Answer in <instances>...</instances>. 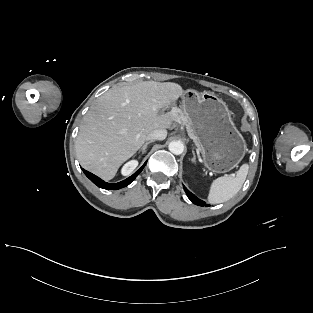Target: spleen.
Returning a JSON list of instances; mask_svg holds the SVG:
<instances>
[{"label":"spleen","mask_w":313,"mask_h":313,"mask_svg":"<svg viewBox=\"0 0 313 313\" xmlns=\"http://www.w3.org/2000/svg\"><path fill=\"white\" fill-rule=\"evenodd\" d=\"M249 170L248 164H243L234 177H219L211 183L208 202L219 204L230 200L241 189Z\"/></svg>","instance_id":"3e777b00"}]
</instances>
